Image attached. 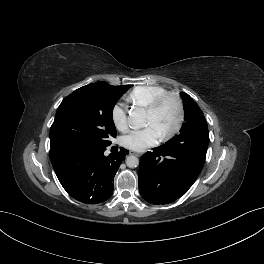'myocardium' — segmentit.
Masks as SVG:
<instances>
[{
  "label": "myocardium",
  "instance_id": "myocardium-1",
  "mask_svg": "<svg viewBox=\"0 0 264 264\" xmlns=\"http://www.w3.org/2000/svg\"><path fill=\"white\" fill-rule=\"evenodd\" d=\"M168 99H172L174 101L176 108H177L178 117H177V121H176L174 127L171 130H169L168 132H166L160 136V138L162 140H169V139L173 138L181 130V128L184 124V120H185V109H184L183 101L177 93L165 92V93L161 94L160 96H158L157 98H155L151 102V104L146 108V111L148 113L154 114L155 112L158 111V109L162 106V104Z\"/></svg>",
  "mask_w": 264,
  "mask_h": 264
}]
</instances>
